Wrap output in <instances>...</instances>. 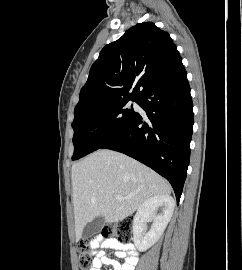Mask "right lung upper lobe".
Segmentation results:
<instances>
[{"mask_svg":"<svg viewBox=\"0 0 242 270\" xmlns=\"http://www.w3.org/2000/svg\"><path fill=\"white\" fill-rule=\"evenodd\" d=\"M180 65L181 56L167 32L152 22L137 24L101 50L74 114L112 101L137 99Z\"/></svg>","mask_w":242,"mask_h":270,"instance_id":"right-lung-upper-lobe-1","label":"right lung upper lobe"}]
</instances>
